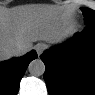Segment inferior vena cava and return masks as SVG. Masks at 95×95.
I'll return each instance as SVG.
<instances>
[{"instance_id": "inferior-vena-cava-1", "label": "inferior vena cava", "mask_w": 95, "mask_h": 95, "mask_svg": "<svg viewBox=\"0 0 95 95\" xmlns=\"http://www.w3.org/2000/svg\"><path fill=\"white\" fill-rule=\"evenodd\" d=\"M14 56H21L26 53V48L22 45H15L14 48L11 50Z\"/></svg>"}]
</instances>
